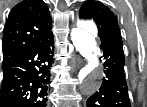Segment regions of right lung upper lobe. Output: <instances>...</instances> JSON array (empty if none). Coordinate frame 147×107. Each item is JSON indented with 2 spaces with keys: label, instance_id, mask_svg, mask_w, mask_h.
Segmentation results:
<instances>
[{
  "label": "right lung upper lobe",
  "instance_id": "obj_1",
  "mask_svg": "<svg viewBox=\"0 0 147 107\" xmlns=\"http://www.w3.org/2000/svg\"><path fill=\"white\" fill-rule=\"evenodd\" d=\"M52 22L43 0H23L11 10L3 33V62L21 56L26 50L53 35Z\"/></svg>",
  "mask_w": 147,
  "mask_h": 107
}]
</instances>
